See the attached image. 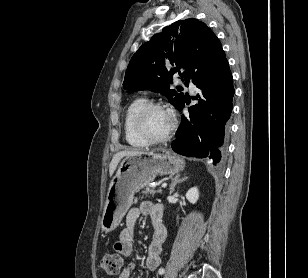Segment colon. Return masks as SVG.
I'll return each instance as SVG.
<instances>
[{"instance_id": "colon-1", "label": "colon", "mask_w": 308, "mask_h": 278, "mask_svg": "<svg viewBox=\"0 0 308 278\" xmlns=\"http://www.w3.org/2000/svg\"><path fill=\"white\" fill-rule=\"evenodd\" d=\"M123 255L119 253H107L101 257L100 265L109 275H117L123 268Z\"/></svg>"}]
</instances>
